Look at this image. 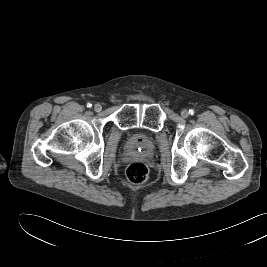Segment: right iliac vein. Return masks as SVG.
Wrapping results in <instances>:
<instances>
[{"label": "right iliac vein", "instance_id": "1", "mask_svg": "<svg viewBox=\"0 0 267 267\" xmlns=\"http://www.w3.org/2000/svg\"><path fill=\"white\" fill-rule=\"evenodd\" d=\"M94 110H95L96 112H100V111L102 110V106H101V104H99V103L95 104V105H94Z\"/></svg>", "mask_w": 267, "mask_h": 267}]
</instances>
